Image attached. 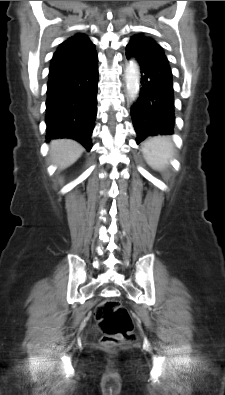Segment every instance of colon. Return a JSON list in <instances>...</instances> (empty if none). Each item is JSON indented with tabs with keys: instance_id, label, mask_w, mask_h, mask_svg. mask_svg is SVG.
Returning <instances> with one entry per match:
<instances>
[{
	"instance_id": "5ec220e1",
	"label": "colon",
	"mask_w": 225,
	"mask_h": 395,
	"mask_svg": "<svg viewBox=\"0 0 225 395\" xmlns=\"http://www.w3.org/2000/svg\"><path fill=\"white\" fill-rule=\"evenodd\" d=\"M102 332L101 343L106 348L131 344L136 340L130 312L116 300H106L95 311Z\"/></svg>"
}]
</instances>
